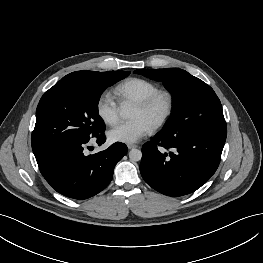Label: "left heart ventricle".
Wrapping results in <instances>:
<instances>
[{
  "label": "left heart ventricle",
  "mask_w": 263,
  "mask_h": 263,
  "mask_svg": "<svg viewBox=\"0 0 263 263\" xmlns=\"http://www.w3.org/2000/svg\"><path fill=\"white\" fill-rule=\"evenodd\" d=\"M165 109L166 100L164 98H161L151 109L147 111L134 107L131 114V118L143 119L152 126L153 123L164 113Z\"/></svg>",
  "instance_id": "obj_1"
}]
</instances>
